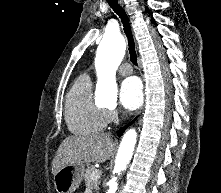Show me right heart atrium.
<instances>
[{"instance_id":"1","label":"right heart atrium","mask_w":221,"mask_h":193,"mask_svg":"<svg viewBox=\"0 0 221 193\" xmlns=\"http://www.w3.org/2000/svg\"><path fill=\"white\" fill-rule=\"evenodd\" d=\"M107 123L114 122L118 119L119 113L115 109L106 110Z\"/></svg>"}]
</instances>
